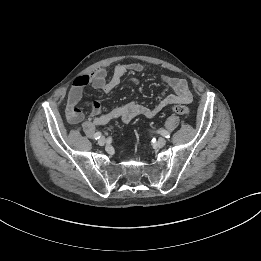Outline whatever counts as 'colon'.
I'll return each instance as SVG.
<instances>
[{"label": "colon", "instance_id": "obj_1", "mask_svg": "<svg viewBox=\"0 0 261 261\" xmlns=\"http://www.w3.org/2000/svg\"><path fill=\"white\" fill-rule=\"evenodd\" d=\"M172 110L182 116H188L190 114V108L186 105L177 104L175 105Z\"/></svg>", "mask_w": 261, "mask_h": 261}]
</instances>
